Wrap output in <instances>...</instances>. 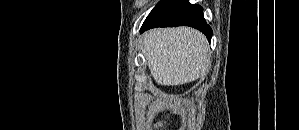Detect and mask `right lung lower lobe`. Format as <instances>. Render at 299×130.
Returning <instances> with one entry per match:
<instances>
[{
	"label": "right lung lower lobe",
	"mask_w": 299,
	"mask_h": 130,
	"mask_svg": "<svg viewBox=\"0 0 299 130\" xmlns=\"http://www.w3.org/2000/svg\"><path fill=\"white\" fill-rule=\"evenodd\" d=\"M191 26L204 33L210 41L212 29L203 16L200 5L188 0H163L159 2L144 21L140 32L155 27Z\"/></svg>",
	"instance_id": "1"
}]
</instances>
